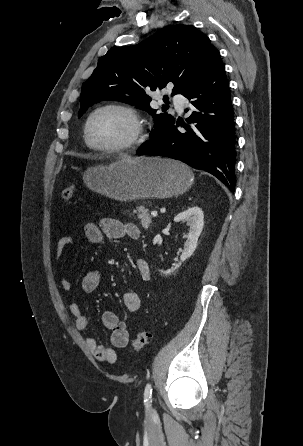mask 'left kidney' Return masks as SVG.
<instances>
[{
    "label": "left kidney",
    "mask_w": 303,
    "mask_h": 446,
    "mask_svg": "<svg viewBox=\"0 0 303 446\" xmlns=\"http://www.w3.org/2000/svg\"><path fill=\"white\" fill-rule=\"evenodd\" d=\"M174 221H186L187 225L189 226V232L187 234V240L184 243L183 252L180 256V262L167 271H160L161 274L165 275L171 274L176 269H178L181 266L182 262H184L194 253L197 247L198 238L203 229L204 214L201 208H199L198 206H193L175 216Z\"/></svg>",
    "instance_id": "1"
}]
</instances>
